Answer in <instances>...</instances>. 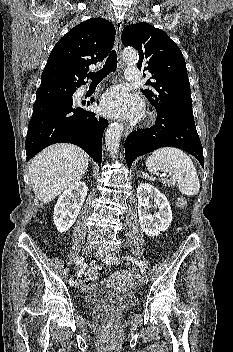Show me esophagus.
<instances>
[{"label": "esophagus", "instance_id": "esophagus-1", "mask_svg": "<svg viewBox=\"0 0 233 352\" xmlns=\"http://www.w3.org/2000/svg\"><path fill=\"white\" fill-rule=\"evenodd\" d=\"M115 28H116L115 49H116L117 53H120V51H121V33H122V29H123V21L118 20ZM130 132H131V128L128 125L125 126L124 135L127 136L130 134Z\"/></svg>", "mask_w": 233, "mask_h": 352}]
</instances>
